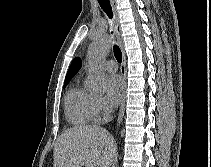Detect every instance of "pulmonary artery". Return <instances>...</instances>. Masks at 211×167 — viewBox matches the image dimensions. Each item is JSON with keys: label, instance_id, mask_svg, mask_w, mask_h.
Masks as SVG:
<instances>
[{"label": "pulmonary artery", "instance_id": "obj_1", "mask_svg": "<svg viewBox=\"0 0 211 167\" xmlns=\"http://www.w3.org/2000/svg\"><path fill=\"white\" fill-rule=\"evenodd\" d=\"M104 69L109 73H115L117 71V63L110 59L104 63Z\"/></svg>", "mask_w": 211, "mask_h": 167}]
</instances>
